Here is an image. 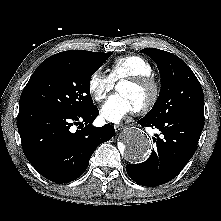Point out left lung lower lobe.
I'll use <instances>...</instances> for the list:
<instances>
[{
    "label": "left lung lower lobe",
    "mask_w": 221,
    "mask_h": 221,
    "mask_svg": "<svg viewBox=\"0 0 221 221\" xmlns=\"http://www.w3.org/2000/svg\"><path fill=\"white\" fill-rule=\"evenodd\" d=\"M142 127H155L163 137L154 138L157 148L140 164H127L128 175L143 186H159L171 181L191 159L204 127V121L185 115H172L154 121L142 118Z\"/></svg>",
    "instance_id": "0a47b994"
}]
</instances>
